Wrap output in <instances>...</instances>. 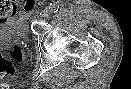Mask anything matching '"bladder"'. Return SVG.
<instances>
[{
    "label": "bladder",
    "mask_w": 131,
    "mask_h": 89,
    "mask_svg": "<svg viewBox=\"0 0 131 89\" xmlns=\"http://www.w3.org/2000/svg\"><path fill=\"white\" fill-rule=\"evenodd\" d=\"M27 35V25L18 17L10 20L9 23H0V42L6 38Z\"/></svg>",
    "instance_id": "bladder-1"
}]
</instances>
